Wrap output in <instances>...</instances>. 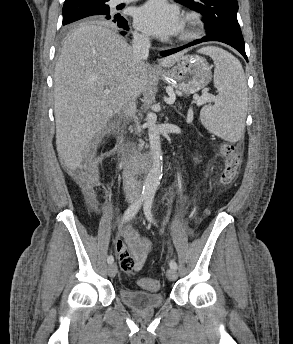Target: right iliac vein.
Wrapping results in <instances>:
<instances>
[{
	"label": "right iliac vein",
	"instance_id": "right-iliac-vein-1",
	"mask_svg": "<svg viewBox=\"0 0 293 344\" xmlns=\"http://www.w3.org/2000/svg\"><path fill=\"white\" fill-rule=\"evenodd\" d=\"M117 273V265L115 263H111L109 266H108V275L110 277H114Z\"/></svg>",
	"mask_w": 293,
	"mask_h": 344
}]
</instances>
